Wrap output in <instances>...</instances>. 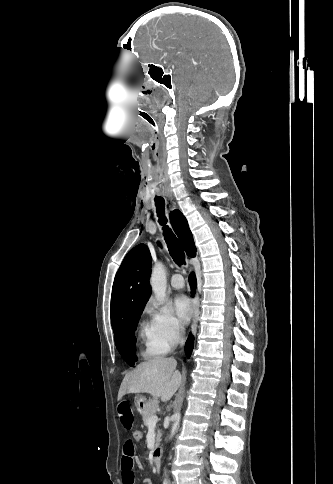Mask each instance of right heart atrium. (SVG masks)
I'll return each instance as SVG.
<instances>
[{
	"instance_id": "right-heart-atrium-1",
	"label": "right heart atrium",
	"mask_w": 333,
	"mask_h": 484,
	"mask_svg": "<svg viewBox=\"0 0 333 484\" xmlns=\"http://www.w3.org/2000/svg\"><path fill=\"white\" fill-rule=\"evenodd\" d=\"M146 311L151 317V325L160 349L166 352L174 348L183 334V326L179 320L168 307L155 302L148 304Z\"/></svg>"
}]
</instances>
